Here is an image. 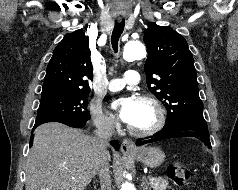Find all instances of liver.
<instances>
[{
	"mask_svg": "<svg viewBox=\"0 0 238 190\" xmlns=\"http://www.w3.org/2000/svg\"><path fill=\"white\" fill-rule=\"evenodd\" d=\"M110 158L107 151V163ZM97 172L94 137L58 122L35 130L27 157L25 190H84Z\"/></svg>",
	"mask_w": 238,
	"mask_h": 190,
	"instance_id": "liver-1",
	"label": "liver"
}]
</instances>
